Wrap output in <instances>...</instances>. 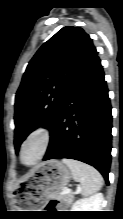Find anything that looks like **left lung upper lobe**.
<instances>
[{
	"label": "left lung upper lobe",
	"instance_id": "obj_1",
	"mask_svg": "<svg viewBox=\"0 0 123 219\" xmlns=\"http://www.w3.org/2000/svg\"><path fill=\"white\" fill-rule=\"evenodd\" d=\"M97 57L91 38L80 27L66 26L40 47L15 97L17 152L35 127L44 125L51 131L76 80Z\"/></svg>",
	"mask_w": 123,
	"mask_h": 219
}]
</instances>
